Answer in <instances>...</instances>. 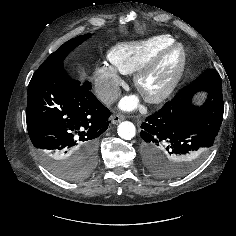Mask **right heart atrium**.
Returning <instances> with one entry per match:
<instances>
[{
    "instance_id": "d8ad5b80",
    "label": "right heart atrium",
    "mask_w": 236,
    "mask_h": 236,
    "mask_svg": "<svg viewBox=\"0 0 236 236\" xmlns=\"http://www.w3.org/2000/svg\"><path fill=\"white\" fill-rule=\"evenodd\" d=\"M93 83L100 101L104 104H111L119 95L122 79L112 65L103 64L95 68Z\"/></svg>"
}]
</instances>
